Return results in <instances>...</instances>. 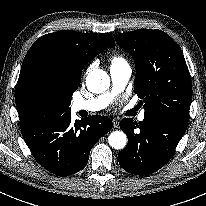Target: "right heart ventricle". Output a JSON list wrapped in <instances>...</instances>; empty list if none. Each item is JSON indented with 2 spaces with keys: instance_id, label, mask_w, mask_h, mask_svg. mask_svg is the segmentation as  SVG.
Segmentation results:
<instances>
[{
  "instance_id": "right-heart-ventricle-1",
  "label": "right heart ventricle",
  "mask_w": 206,
  "mask_h": 206,
  "mask_svg": "<svg viewBox=\"0 0 206 206\" xmlns=\"http://www.w3.org/2000/svg\"><path fill=\"white\" fill-rule=\"evenodd\" d=\"M125 62V59L119 55L112 57L111 59V66L116 65L118 63Z\"/></svg>"
}]
</instances>
